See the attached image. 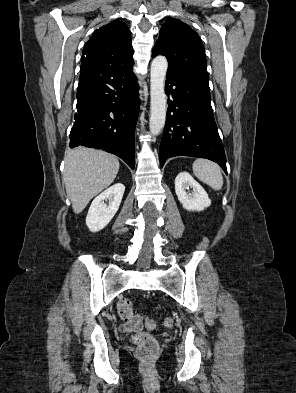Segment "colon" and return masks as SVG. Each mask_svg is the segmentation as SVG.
I'll list each match as a JSON object with an SVG mask.
<instances>
[{
    "mask_svg": "<svg viewBox=\"0 0 296 393\" xmlns=\"http://www.w3.org/2000/svg\"><path fill=\"white\" fill-rule=\"evenodd\" d=\"M118 311L122 318L129 319L133 315L132 304L128 299H122L118 304ZM147 329L154 330L156 323L153 319L147 318L145 320ZM164 325L168 328L173 326V320L167 318ZM133 343L137 347V354L141 360L148 363L155 358L158 353L159 346L156 340L148 333H138L133 337Z\"/></svg>",
    "mask_w": 296,
    "mask_h": 393,
    "instance_id": "1",
    "label": "colon"
}]
</instances>
